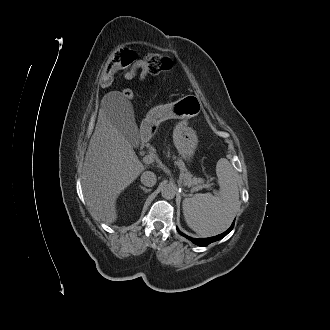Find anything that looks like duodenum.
<instances>
[{
	"label": "duodenum",
	"mask_w": 330,
	"mask_h": 330,
	"mask_svg": "<svg viewBox=\"0 0 330 330\" xmlns=\"http://www.w3.org/2000/svg\"><path fill=\"white\" fill-rule=\"evenodd\" d=\"M144 140H145V137L144 136H139L138 139H137V146L138 148L142 147L143 146V143H144Z\"/></svg>",
	"instance_id": "duodenum-1"
}]
</instances>
